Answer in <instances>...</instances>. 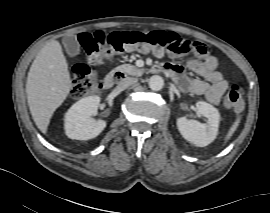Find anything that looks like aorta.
I'll return each instance as SVG.
<instances>
[{
	"mask_svg": "<svg viewBox=\"0 0 270 213\" xmlns=\"http://www.w3.org/2000/svg\"><path fill=\"white\" fill-rule=\"evenodd\" d=\"M164 86V80L159 75H154L149 79V87L153 91H159Z\"/></svg>",
	"mask_w": 270,
	"mask_h": 213,
	"instance_id": "1",
	"label": "aorta"
}]
</instances>
